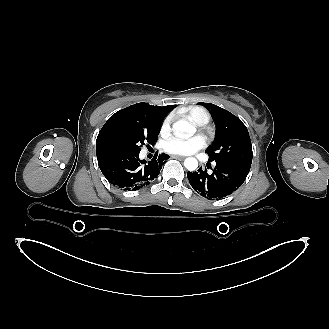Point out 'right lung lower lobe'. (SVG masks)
<instances>
[{"instance_id": "98d812e1", "label": "right lung lower lobe", "mask_w": 329, "mask_h": 329, "mask_svg": "<svg viewBox=\"0 0 329 329\" xmlns=\"http://www.w3.org/2000/svg\"><path fill=\"white\" fill-rule=\"evenodd\" d=\"M170 158L155 155L151 161L140 160L139 152L110 151L97 156L98 165L105 178L121 190H138L148 186L160 173L162 165Z\"/></svg>"}]
</instances>
